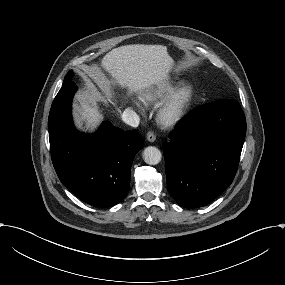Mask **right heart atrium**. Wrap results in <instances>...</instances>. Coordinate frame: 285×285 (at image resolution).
<instances>
[{"label": "right heart atrium", "instance_id": "right-heart-atrium-1", "mask_svg": "<svg viewBox=\"0 0 285 285\" xmlns=\"http://www.w3.org/2000/svg\"><path fill=\"white\" fill-rule=\"evenodd\" d=\"M133 103H134L137 107H140L139 102H137V101H133Z\"/></svg>", "mask_w": 285, "mask_h": 285}]
</instances>
